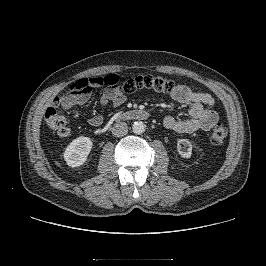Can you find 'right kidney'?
<instances>
[{
	"instance_id": "ca27d5eb",
	"label": "right kidney",
	"mask_w": 266,
	"mask_h": 266,
	"mask_svg": "<svg viewBox=\"0 0 266 266\" xmlns=\"http://www.w3.org/2000/svg\"><path fill=\"white\" fill-rule=\"evenodd\" d=\"M93 143L89 137L80 136L74 139L65 149L64 160L67 165L74 168L82 165L91 149Z\"/></svg>"
}]
</instances>
